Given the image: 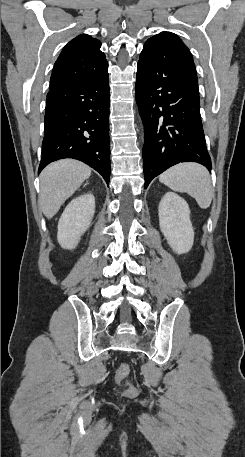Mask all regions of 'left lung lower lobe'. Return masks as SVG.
<instances>
[{
    "label": "left lung lower lobe",
    "instance_id": "obj_1",
    "mask_svg": "<svg viewBox=\"0 0 245 457\" xmlns=\"http://www.w3.org/2000/svg\"><path fill=\"white\" fill-rule=\"evenodd\" d=\"M135 94L145 133V188L154 177L180 162H197L211 171L198 79L174 45L159 43L143 49Z\"/></svg>",
    "mask_w": 245,
    "mask_h": 457
}]
</instances>
